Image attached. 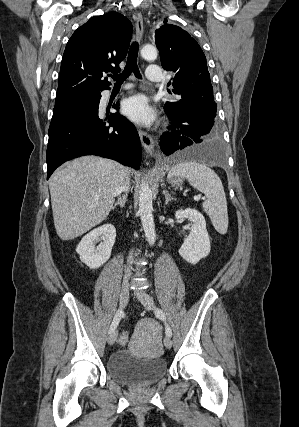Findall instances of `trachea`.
Instances as JSON below:
<instances>
[{"mask_svg": "<svg viewBox=\"0 0 299 427\" xmlns=\"http://www.w3.org/2000/svg\"><path fill=\"white\" fill-rule=\"evenodd\" d=\"M137 57L138 43L133 42L128 52L127 63L123 72L112 76L113 80L116 81V84H122L131 75V73H134L137 78H141V74L137 65Z\"/></svg>", "mask_w": 299, "mask_h": 427, "instance_id": "obj_1", "label": "trachea"}]
</instances>
